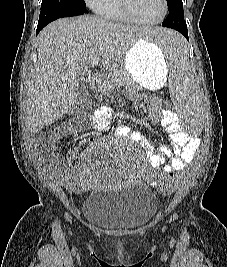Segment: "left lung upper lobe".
I'll use <instances>...</instances> for the list:
<instances>
[{
    "label": "left lung upper lobe",
    "mask_w": 227,
    "mask_h": 267,
    "mask_svg": "<svg viewBox=\"0 0 227 267\" xmlns=\"http://www.w3.org/2000/svg\"><path fill=\"white\" fill-rule=\"evenodd\" d=\"M169 13L177 9L183 8L182 0H167Z\"/></svg>",
    "instance_id": "obj_1"
}]
</instances>
